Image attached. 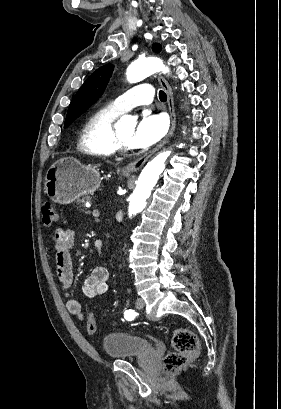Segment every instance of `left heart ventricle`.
Returning a JSON list of instances; mask_svg holds the SVG:
<instances>
[{"mask_svg": "<svg viewBox=\"0 0 281 409\" xmlns=\"http://www.w3.org/2000/svg\"><path fill=\"white\" fill-rule=\"evenodd\" d=\"M120 138L123 144L128 148H134L132 145V137L135 130L134 126H117Z\"/></svg>", "mask_w": 281, "mask_h": 409, "instance_id": "1", "label": "left heart ventricle"}]
</instances>
